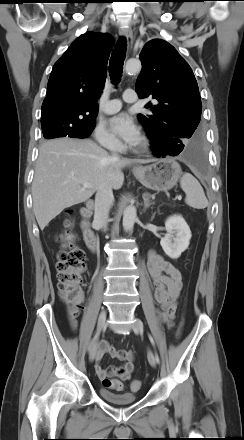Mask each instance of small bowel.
I'll return each instance as SVG.
<instances>
[{"instance_id": "c3829d8e", "label": "small bowel", "mask_w": 244, "mask_h": 440, "mask_svg": "<svg viewBox=\"0 0 244 440\" xmlns=\"http://www.w3.org/2000/svg\"><path fill=\"white\" fill-rule=\"evenodd\" d=\"M148 272L152 279L154 297L158 304V315L161 322L172 325L177 309V299L182 290V277L179 269L162 255L150 251L148 255ZM71 326L76 322L71 319ZM105 355L123 361L120 366L103 367L101 361ZM95 370L102 381L106 377H115L122 381L129 380L134 370V353L130 350L115 349L109 342L102 340L95 356Z\"/></svg>"}]
</instances>
